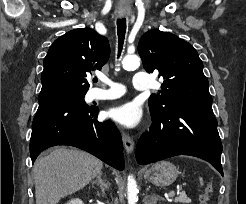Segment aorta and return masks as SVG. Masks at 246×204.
<instances>
[{
	"mask_svg": "<svg viewBox=\"0 0 246 204\" xmlns=\"http://www.w3.org/2000/svg\"><path fill=\"white\" fill-rule=\"evenodd\" d=\"M122 65L124 68H135L140 65V58L137 55H126L123 58ZM138 189L137 183L133 175L128 176L127 181V200L128 204H136Z\"/></svg>",
	"mask_w": 246,
	"mask_h": 204,
	"instance_id": "1",
	"label": "aorta"
}]
</instances>
